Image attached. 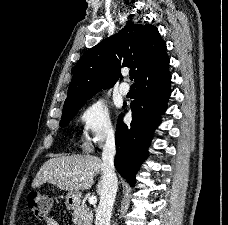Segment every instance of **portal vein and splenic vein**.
Returning <instances> with one entry per match:
<instances>
[{"label":"portal vein and splenic vein","mask_w":228,"mask_h":225,"mask_svg":"<svg viewBox=\"0 0 228 225\" xmlns=\"http://www.w3.org/2000/svg\"><path fill=\"white\" fill-rule=\"evenodd\" d=\"M82 179H85V177H82ZM88 203H90V205H95V203H97L96 197H90Z\"/></svg>","instance_id":"portal-vein-and-splenic-vein-1"}]
</instances>
